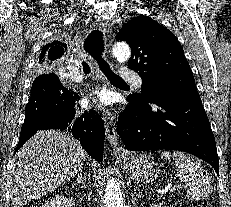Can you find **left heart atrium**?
Wrapping results in <instances>:
<instances>
[{
	"label": "left heart atrium",
	"mask_w": 231,
	"mask_h": 207,
	"mask_svg": "<svg viewBox=\"0 0 231 207\" xmlns=\"http://www.w3.org/2000/svg\"><path fill=\"white\" fill-rule=\"evenodd\" d=\"M92 100L101 106H106L110 103V97L106 92H99Z\"/></svg>",
	"instance_id": "39dd6f15"
}]
</instances>
